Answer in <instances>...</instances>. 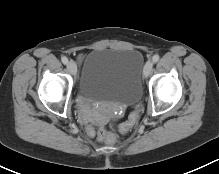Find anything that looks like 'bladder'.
Segmentation results:
<instances>
[{
    "label": "bladder",
    "instance_id": "obj_1",
    "mask_svg": "<svg viewBox=\"0 0 219 174\" xmlns=\"http://www.w3.org/2000/svg\"><path fill=\"white\" fill-rule=\"evenodd\" d=\"M143 65L136 49H94L84 58L78 92L96 102L135 105L142 96Z\"/></svg>",
    "mask_w": 219,
    "mask_h": 174
}]
</instances>
